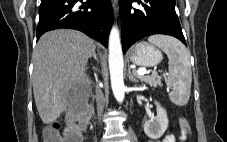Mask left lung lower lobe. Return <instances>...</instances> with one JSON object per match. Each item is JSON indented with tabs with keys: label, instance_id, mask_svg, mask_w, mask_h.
Wrapping results in <instances>:
<instances>
[{
	"label": "left lung lower lobe",
	"instance_id": "obj_1",
	"mask_svg": "<svg viewBox=\"0 0 227 142\" xmlns=\"http://www.w3.org/2000/svg\"><path fill=\"white\" fill-rule=\"evenodd\" d=\"M138 2L143 8L132 7ZM123 53L139 39L153 34L185 38L175 12V0H119Z\"/></svg>",
	"mask_w": 227,
	"mask_h": 142
}]
</instances>
